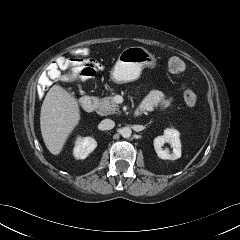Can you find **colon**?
Segmentation results:
<instances>
[{"label":"colon","mask_w":240,"mask_h":240,"mask_svg":"<svg viewBox=\"0 0 240 240\" xmlns=\"http://www.w3.org/2000/svg\"><path fill=\"white\" fill-rule=\"evenodd\" d=\"M88 52L86 48L75 49L68 55L58 57L56 61L64 70H70L72 78L84 81L95 75V61L87 58ZM185 67V62L179 57H172L168 62L170 72L175 75L183 74ZM183 96L188 106H194L198 99L190 85H185Z\"/></svg>","instance_id":"obj_1"}]
</instances>
